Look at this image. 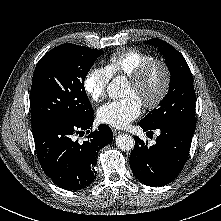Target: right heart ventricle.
Here are the masks:
<instances>
[{
	"mask_svg": "<svg viewBox=\"0 0 221 221\" xmlns=\"http://www.w3.org/2000/svg\"><path fill=\"white\" fill-rule=\"evenodd\" d=\"M155 56L140 49H127L113 53L107 66L111 76L131 77L135 71Z\"/></svg>",
	"mask_w": 221,
	"mask_h": 221,
	"instance_id": "e07e8e85",
	"label": "right heart ventricle"
}]
</instances>
